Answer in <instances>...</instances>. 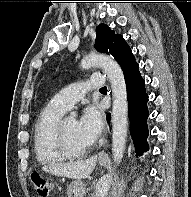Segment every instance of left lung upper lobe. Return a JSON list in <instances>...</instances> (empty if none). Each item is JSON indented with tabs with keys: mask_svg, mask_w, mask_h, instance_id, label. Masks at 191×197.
Masks as SVG:
<instances>
[{
	"mask_svg": "<svg viewBox=\"0 0 191 197\" xmlns=\"http://www.w3.org/2000/svg\"><path fill=\"white\" fill-rule=\"evenodd\" d=\"M96 48L100 52L112 55L120 64L123 72L138 66L130 47L120 34H115L106 24L96 28Z\"/></svg>",
	"mask_w": 191,
	"mask_h": 197,
	"instance_id": "1",
	"label": "left lung upper lobe"
}]
</instances>
